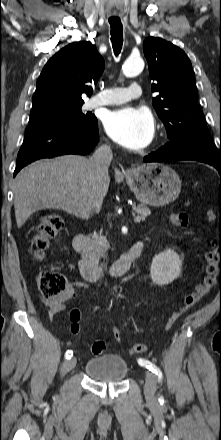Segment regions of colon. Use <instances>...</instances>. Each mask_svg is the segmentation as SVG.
Here are the masks:
<instances>
[{
  "label": "colon",
  "instance_id": "obj_1",
  "mask_svg": "<svg viewBox=\"0 0 221 440\" xmlns=\"http://www.w3.org/2000/svg\"><path fill=\"white\" fill-rule=\"evenodd\" d=\"M209 221L214 220L215 214L209 210L206 213ZM171 222L177 227H187L190 225V215L186 212H175L171 215ZM63 220L56 215H48L43 218L38 225L36 233L33 238L35 245L34 258L41 260L44 257V252L48 248L49 241L54 238L63 228ZM206 259V273L202 284L191 294L187 295L178 311H176L167 321L166 330H169L174 323L187 311L201 302L213 289L217 283L219 275H221V241L220 244L213 242L211 248L205 255ZM37 287L42 297L46 299H54L59 297L67 288L66 278L53 271H42L37 276ZM80 312L73 310L70 313L72 321V331L77 333L80 329L79 320ZM110 331L114 339L122 340L123 332L119 330L118 323L110 324ZM108 349V343L105 340H95L91 344V351L95 355H101ZM148 349L145 344H132L129 346V352L132 354H140L146 352Z\"/></svg>",
  "mask_w": 221,
  "mask_h": 440
}]
</instances>
